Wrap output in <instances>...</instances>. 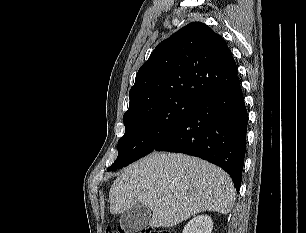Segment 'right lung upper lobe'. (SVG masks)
<instances>
[{"label": "right lung upper lobe", "mask_w": 306, "mask_h": 233, "mask_svg": "<svg viewBox=\"0 0 306 233\" xmlns=\"http://www.w3.org/2000/svg\"><path fill=\"white\" fill-rule=\"evenodd\" d=\"M237 82V66L224 39L193 22L162 41L141 66L127 112L173 98L201 104Z\"/></svg>", "instance_id": "right-lung-upper-lobe-1"}]
</instances>
